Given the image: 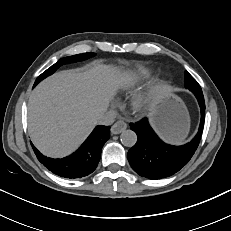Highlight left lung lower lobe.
Masks as SVG:
<instances>
[{
    "mask_svg": "<svg viewBox=\"0 0 231 231\" xmlns=\"http://www.w3.org/2000/svg\"><path fill=\"white\" fill-rule=\"evenodd\" d=\"M195 96L201 108L199 131L191 142L183 146L164 143L152 130L147 118L130 123V128L137 134V142L128 151V160L140 176L154 180L169 177L189 162L199 145L205 119L204 97Z\"/></svg>",
    "mask_w": 231,
    "mask_h": 231,
    "instance_id": "0a47b994",
    "label": "left lung lower lobe"
}]
</instances>
